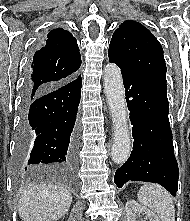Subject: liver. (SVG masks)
<instances>
[{
  "instance_id": "6515ba94",
  "label": "liver",
  "mask_w": 190,
  "mask_h": 221,
  "mask_svg": "<svg viewBox=\"0 0 190 221\" xmlns=\"http://www.w3.org/2000/svg\"><path fill=\"white\" fill-rule=\"evenodd\" d=\"M71 203L72 195L62 185H29L19 194L18 213L23 221H52L64 216Z\"/></svg>"
}]
</instances>
